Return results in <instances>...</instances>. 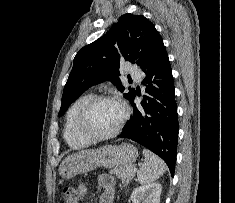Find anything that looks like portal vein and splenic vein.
I'll list each match as a JSON object with an SVG mask.
<instances>
[{
	"instance_id": "portal-vein-and-splenic-vein-1",
	"label": "portal vein and splenic vein",
	"mask_w": 235,
	"mask_h": 203,
	"mask_svg": "<svg viewBox=\"0 0 235 203\" xmlns=\"http://www.w3.org/2000/svg\"><path fill=\"white\" fill-rule=\"evenodd\" d=\"M133 171L136 172V171H137V168H134Z\"/></svg>"
}]
</instances>
